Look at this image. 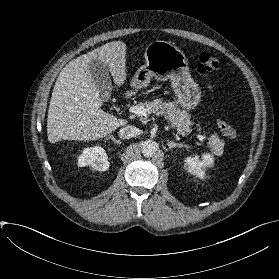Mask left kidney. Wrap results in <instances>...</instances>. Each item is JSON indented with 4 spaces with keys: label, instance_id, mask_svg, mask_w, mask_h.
Listing matches in <instances>:
<instances>
[{
    "label": "left kidney",
    "instance_id": "obj_1",
    "mask_svg": "<svg viewBox=\"0 0 279 279\" xmlns=\"http://www.w3.org/2000/svg\"><path fill=\"white\" fill-rule=\"evenodd\" d=\"M185 170H187L190 174L195 175L200 179L205 178V168L212 166L214 162L213 155L204 154L202 156V160L199 159L198 156H190L187 157L184 161Z\"/></svg>",
    "mask_w": 279,
    "mask_h": 279
}]
</instances>
